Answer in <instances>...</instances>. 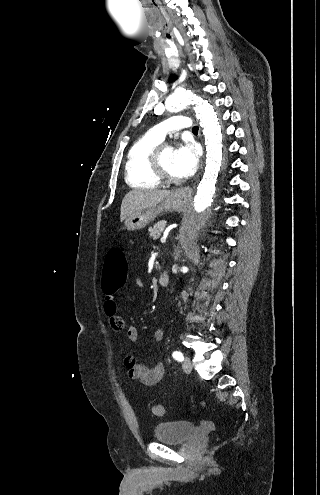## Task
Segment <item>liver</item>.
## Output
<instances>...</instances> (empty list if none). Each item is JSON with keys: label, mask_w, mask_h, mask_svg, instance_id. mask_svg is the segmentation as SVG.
<instances>
[{"label": "liver", "mask_w": 320, "mask_h": 495, "mask_svg": "<svg viewBox=\"0 0 320 495\" xmlns=\"http://www.w3.org/2000/svg\"><path fill=\"white\" fill-rule=\"evenodd\" d=\"M171 192L166 190L134 189L127 193L121 203L120 220H125L136 211L152 207L163 201Z\"/></svg>", "instance_id": "obj_1"}]
</instances>
